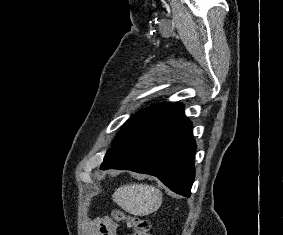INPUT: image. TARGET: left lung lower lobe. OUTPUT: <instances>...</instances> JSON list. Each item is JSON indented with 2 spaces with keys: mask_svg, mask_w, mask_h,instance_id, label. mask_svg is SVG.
<instances>
[{
  "mask_svg": "<svg viewBox=\"0 0 283 235\" xmlns=\"http://www.w3.org/2000/svg\"><path fill=\"white\" fill-rule=\"evenodd\" d=\"M196 145L184 106L174 103L132 133L101 165L156 176L172 191L189 197Z\"/></svg>",
  "mask_w": 283,
  "mask_h": 235,
  "instance_id": "left-lung-lower-lobe-1",
  "label": "left lung lower lobe"
}]
</instances>
